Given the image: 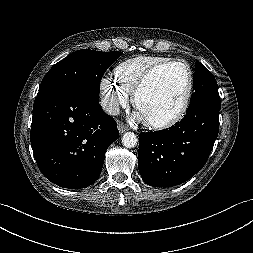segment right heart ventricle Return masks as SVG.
<instances>
[{
  "label": "right heart ventricle",
  "instance_id": "obj_1",
  "mask_svg": "<svg viewBox=\"0 0 253 253\" xmlns=\"http://www.w3.org/2000/svg\"><path fill=\"white\" fill-rule=\"evenodd\" d=\"M170 60L159 55H138L119 63L114 71V81L128 94H132L141 77L154 65Z\"/></svg>",
  "mask_w": 253,
  "mask_h": 253
}]
</instances>
